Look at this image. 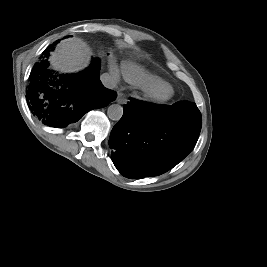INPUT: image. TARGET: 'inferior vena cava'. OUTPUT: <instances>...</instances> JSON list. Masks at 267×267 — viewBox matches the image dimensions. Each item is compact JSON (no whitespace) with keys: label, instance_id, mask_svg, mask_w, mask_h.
<instances>
[{"label":"inferior vena cava","instance_id":"602c4592","mask_svg":"<svg viewBox=\"0 0 267 267\" xmlns=\"http://www.w3.org/2000/svg\"><path fill=\"white\" fill-rule=\"evenodd\" d=\"M100 80H101L102 84L104 85V87H106V88L113 89L116 87L115 79L111 75H109L108 73H103L100 76Z\"/></svg>","mask_w":267,"mask_h":267}]
</instances>
